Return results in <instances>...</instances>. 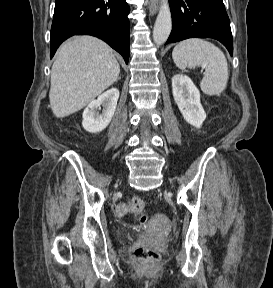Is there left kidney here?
Instances as JSON below:
<instances>
[{
	"label": "left kidney",
	"mask_w": 273,
	"mask_h": 288,
	"mask_svg": "<svg viewBox=\"0 0 273 288\" xmlns=\"http://www.w3.org/2000/svg\"><path fill=\"white\" fill-rule=\"evenodd\" d=\"M172 91L183 118L190 125L200 128L206 119V113L200 103V92L186 75L172 77Z\"/></svg>",
	"instance_id": "left-kidney-1"
}]
</instances>
